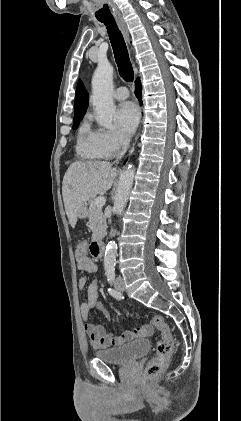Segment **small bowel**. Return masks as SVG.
<instances>
[{
  "label": "small bowel",
  "mask_w": 241,
  "mask_h": 421,
  "mask_svg": "<svg viewBox=\"0 0 241 421\" xmlns=\"http://www.w3.org/2000/svg\"><path fill=\"white\" fill-rule=\"evenodd\" d=\"M76 261L78 268L86 273L95 274L98 271L97 263L88 255H80L76 252ZM77 284L79 290L86 289L87 299L81 304L80 313L84 321V330L94 348L119 347L128 341L152 334L153 327L150 324H144L135 329L127 330L121 335H113L104 326L94 324L89 320V316L95 309L99 310L107 320H110L109 311L98 301V281L97 279H93L88 283L87 278L81 277Z\"/></svg>",
  "instance_id": "c3829d8e"
}]
</instances>
